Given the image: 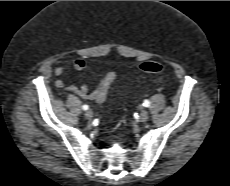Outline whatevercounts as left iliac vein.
Returning <instances> with one entry per match:
<instances>
[{
  "instance_id": "1",
  "label": "left iliac vein",
  "mask_w": 230,
  "mask_h": 186,
  "mask_svg": "<svg viewBox=\"0 0 230 186\" xmlns=\"http://www.w3.org/2000/svg\"><path fill=\"white\" fill-rule=\"evenodd\" d=\"M148 117H149L148 111L145 110V109L142 110L141 113H140V117H139L140 121L145 122V121H147Z\"/></svg>"
}]
</instances>
